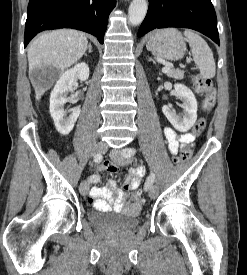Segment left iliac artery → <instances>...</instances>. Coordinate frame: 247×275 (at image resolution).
<instances>
[{
    "label": "left iliac artery",
    "mask_w": 247,
    "mask_h": 275,
    "mask_svg": "<svg viewBox=\"0 0 247 275\" xmlns=\"http://www.w3.org/2000/svg\"><path fill=\"white\" fill-rule=\"evenodd\" d=\"M135 152H136V150L133 149V148H131L129 151H127V152L124 153V157H131L132 155L135 154ZM154 180H155V174L151 173L147 177V180H146L145 185H144V189L148 190L150 187H152V185L154 183Z\"/></svg>",
    "instance_id": "left-iliac-artery-1"
}]
</instances>
